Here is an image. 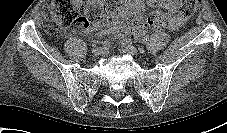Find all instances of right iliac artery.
I'll list each match as a JSON object with an SVG mask.
<instances>
[{"label": "right iliac artery", "instance_id": "82829eb1", "mask_svg": "<svg viewBox=\"0 0 227 133\" xmlns=\"http://www.w3.org/2000/svg\"><path fill=\"white\" fill-rule=\"evenodd\" d=\"M108 46H109V43L105 42L104 44H101V49H107Z\"/></svg>", "mask_w": 227, "mask_h": 133}]
</instances>
